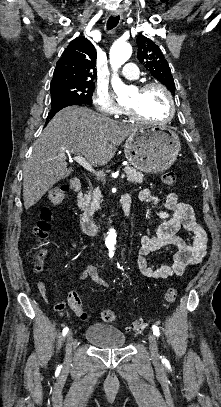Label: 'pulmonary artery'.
Returning a JSON list of instances; mask_svg holds the SVG:
<instances>
[{"label": "pulmonary artery", "mask_w": 221, "mask_h": 407, "mask_svg": "<svg viewBox=\"0 0 221 407\" xmlns=\"http://www.w3.org/2000/svg\"><path fill=\"white\" fill-rule=\"evenodd\" d=\"M122 75L129 79L138 78L137 67L134 63H126L122 70Z\"/></svg>", "instance_id": "pulmonary-artery-1"}]
</instances>
